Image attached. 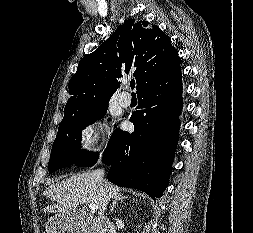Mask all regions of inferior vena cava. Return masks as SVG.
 Returning a JSON list of instances; mask_svg holds the SVG:
<instances>
[{"instance_id": "602c4592", "label": "inferior vena cava", "mask_w": 253, "mask_h": 233, "mask_svg": "<svg viewBox=\"0 0 253 233\" xmlns=\"http://www.w3.org/2000/svg\"><path fill=\"white\" fill-rule=\"evenodd\" d=\"M92 173L98 182H100V183L103 182L104 169H96ZM108 228L110 231L112 230L111 226H109V225H108Z\"/></svg>"}]
</instances>
